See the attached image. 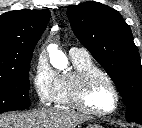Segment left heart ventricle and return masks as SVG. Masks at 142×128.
<instances>
[{"mask_svg": "<svg viewBox=\"0 0 142 128\" xmlns=\"http://www.w3.org/2000/svg\"><path fill=\"white\" fill-rule=\"evenodd\" d=\"M114 95L106 81L96 83L90 94V104L97 110L107 111L114 106Z\"/></svg>", "mask_w": 142, "mask_h": 128, "instance_id": "b2bd125f", "label": "left heart ventricle"}]
</instances>
